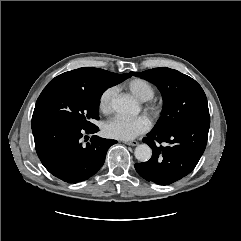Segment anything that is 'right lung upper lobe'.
I'll list each match as a JSON object with an SVG mask.
<instances>
[{
    "mask_svg": "<svg viewBox=\"0 0 241 241\" xmlns=\"http://www.w3.org/2000/svg\"><path fill=\"white\" fill-rule=\"evenodd\" d=\"M130 76V74H115L103 69L84 67L62 73L52 81H62L84 88H90L96 86L103 80L115 81L118 84Z\"/></svg>",
    "mask_w": 241,
    "mask_h": 241,
    "instance_id": "obj_1",
    "label": "right lung upper lobe"
}]
</instances>
